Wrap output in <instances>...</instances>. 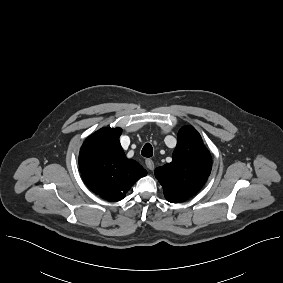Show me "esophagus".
Instances as JSON below:
<instances>
[{"mask_svg":"<svg viewBox=\"0 0 283 283\" xmlns=\"http://www.w3.org/2000/svg\"><path fill=\"white\" fill-rule=\"evenodd\" d=\"M145 164H146V167H147L149 170H153V169H154V162H153V160L147 159V160L145 161Z\"/></svg>","mask_w":283,"mask_h":283,"instance_id":"34e87169","label":"esophagus"}]
</instances>
